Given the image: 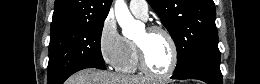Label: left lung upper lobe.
<instances>
[{
  "mask_svg": "<svg viewBox=\"0 0 260 84\" xmlns=\"http://www.w3.org/2000/svg\"><path fill=\"white\" fill-rule=\"evenodd\" d=\"M169 31L177 48L174 74L199 59L219 55L213 0H147Z\"/></svg>",
  "mask_w": 260,
  "mask_h": 84,
  "instance_id": "obj_1",
  "label": "left lung upper lobe"
}]
</instances>
